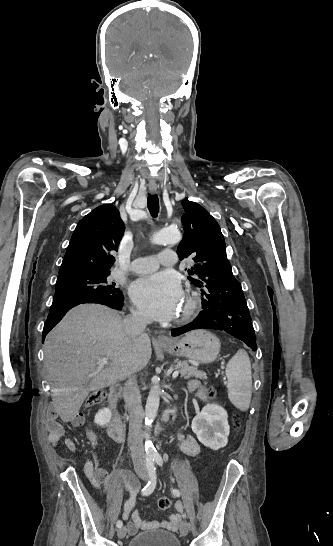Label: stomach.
<instances>
[{"instance_id": "stomach-1", "label": "stomach", "mask_w": 333, "mask_h": 546, "mask_svg": "<svg viewBox=\"0 0 333 546\" xmlns=\"http://www.w3.org/2000/svg\"><path fill=\"white\" fill-rule=\"evenodd\" d=\"M220 345V340L213 333L196 330L181 339H174L161 348L172 356L186 357L202 364H209L217 358Z\"/></svg>"}]
</instances>
